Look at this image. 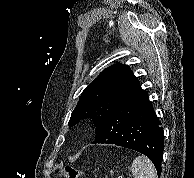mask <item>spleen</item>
I'll list each match as a JSON object with an SVG mask.
<instances>
[{"mask_svg":"<svg viewBox=\"0 0 194 178\" xmlns=\"http://www.w3.org/2000/svg\"><path fill=\"white\" fill-rule=\"evenodd\" d=\"M131 171L134 178H158L154 165L143 155L134 159Z\"/></svg>","mask_w":194,"mask_h":178,"instance_id":"1","label":"spleen"}]
</instances>
